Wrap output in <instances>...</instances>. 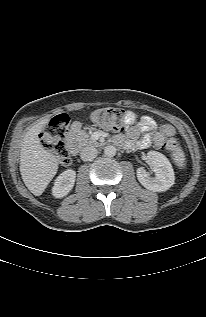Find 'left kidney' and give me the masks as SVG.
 <instances>
[{
  "label": "left kidney",
  "mask_w": 206,
  "mask_h": 317,
  "mask_svg": "<svg viewBox=\"0 0 206 317\" xmlns=\"http://www.w3.org/2000/svg\"><path fill=\"white\" fill-rule=\"evenodd\" d=\"M147 160L152 165L155 176L151 177L143 167L138 168L137 178L141 185L155 192H163L173 186L174 171L167 157L159 152L149 151Z\"/></svg>",
  "instance_id": "1"
}]
</instances>
